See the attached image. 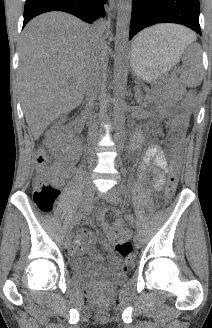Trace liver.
Segmentation results:
<instances>
[{"label":"liver","instance_id":"1","mask_svg":"<svg viewBox=\"0 0 212 328\" xmlns=\"http://www.w3.org/2000/svg\"><path fill=\"white\" fill-rule=\"evenodd\" d=\"M148 42L188 45L196 36L179 25L145 30ZM99 38L92 27L61 12H49L25 27L19 48V89L26 122L38 139L60 115L83 101L94 70Z\"/></svg>","mask_w":212,"mask_h":328}]
</instances>
